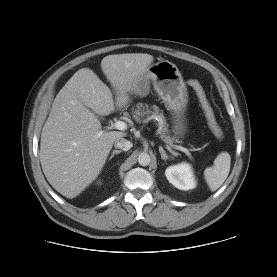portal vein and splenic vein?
<instances>
[{"instance_id": "18ae733b", "label": "portal vein and splenic vein", "mask_w": 277, "mask_h": 277, "mask_svg": "<svg viewBox=\"0 0 277 277\" xmlns=\"http://www.w3.org/2000/svg\"><path fill=\"white\" fill-rule=\"evenodd\" d=\"M113 127L117 130H121V131H124L127 129V124L123 121H116L114 124H113ZM175 149L177 150H180L182 152H184L188 157L191 158V153L189 152V150L183 146H174ZM198 150V149H196Z\"/></svg>"}]
</instances>
